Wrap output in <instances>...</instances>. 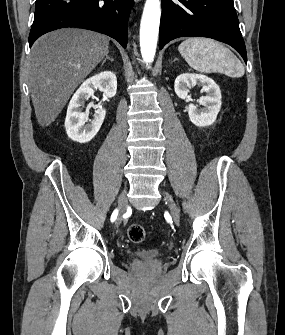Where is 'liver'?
Masks as SVG:
<instances>
[{
    "mask_svg": "<svg viewBox=\"0 0 285 335\" xmlns=\"http://www.w3.org/2000/svg\"><path fill=\"white\" fill-rule=\"evenodd\" d=\"M103 34L64 28L33 44L27 64L29 92L40 126L55 122L77 86L109 50Z\"/></svg>",
    "mask_w": 285,
    "mask_h": 335,
    "instance_id": "6515ba94",
    "label": "liver"
}]
</instances>
